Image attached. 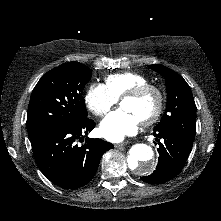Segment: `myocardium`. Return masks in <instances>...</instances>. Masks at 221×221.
Here are the masks:
<instances>
[{
	"instance_id": "obj_1",
	"label": "myocardium",
	"mask_w": 221,
	"mask_h": 221,
	"mask_svg": "<svg viewBox=\"0 0 221 221\" xmlns=\"http://www.w3.org/2000/svg\"><path fill=\"white\" fill-rule=\"evenodd\" d=\"M148 93H154L156 95L157 104L154 112L147 118L141 120V124L143 125H150L156 122L161 116L164 107V95L161 89L154 84L147 83L131 89L120 98V103H121L124 99L140 98Z\"/></svg>"
}]
</instances>
